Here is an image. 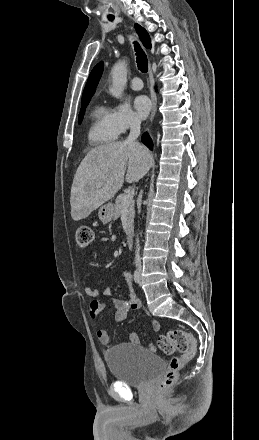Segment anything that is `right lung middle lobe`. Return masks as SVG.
<instances>
[{"label":"right lung middle lobe","instance_id":"obj_1","mask_svg":"<svg viewBox=\"0 0 259 440\" xmlns=\"http://www.w3.org/2000/svg\"><path fill=\"white\" fill-rule=\"evenodd\" d=\"M90 99H91V98H87V99H83V100L81 101V110H80L79 117H78V122H79V124L81 123V121H82V119H83V115H84V112H85V108L87 107V105H88Z\"/></svg>","mask_w":259,"mask_h":440}]
</instances>
